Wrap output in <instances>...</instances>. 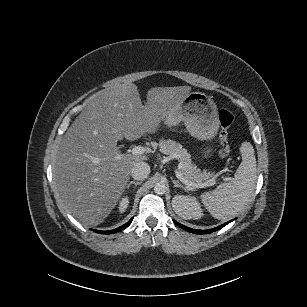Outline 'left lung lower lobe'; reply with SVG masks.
<instances>
[{"label": "left lung lower lobe", "instance_id": "left-lung-lower-lobe-1", "mask_svg": "<svg viewBox=\"0 0 307 307\" xmlns=\"http://www.w3.org/2000/svg\"><path fill=\"white\" fill-rule=\"evenodd\" d=\"M175 224H177L178 226H180L181 228H183L184 230L188 231V232H191V233H194V234H207V233H211V232H214V231H217L219 229H221L222 227H224L225 225H227L228 223H230L231 221L223 224V225H220L216 228H213V229H210V230H196V229H191V228H188L182 224H179L178 222H176L175 220H173Z\"/></svg>", "mask_w": 307, "mask_h": 307}]
</instances>
